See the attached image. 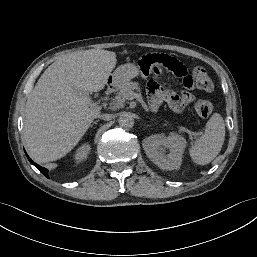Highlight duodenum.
<instances>
[{"label":"duodenum","mask_w":257,"mask_h":257,"mask_svg":"<svg viewBox=\"0 0 257 257\" xmlns=\"http://www.w3.org/2000/svg\"><path fill=\"white\" fill-rule=\"evenodd\" d=\"M117 89V84L114 81H110L109 84L106 87L105 93L111 94L112 92H114Z\"/></svg>","instance_id":"duodenum-1"}]
</instances>
